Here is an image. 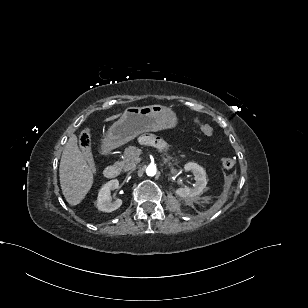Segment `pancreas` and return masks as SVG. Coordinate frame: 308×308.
Segmentation results:
<instances>
[{"label":"pancreas","mask_w":308,"mask_h":308,"mask_svg":"<svg viewBox=\"0 0 308 308\" xmlns=\"http://www.w3.org/2000/svg\"><path fill=\"white\" fill-rule=\"evenodd\" d=\"M141 150L135 146H129L125 148L123 159L116 162V165L122 168L125 171L135 169L136 165L140 162L139 155Z\"/></svg>","instance_id":"1"}]
</instances>
